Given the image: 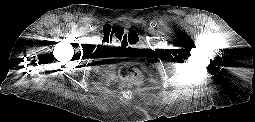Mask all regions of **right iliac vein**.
Here are the masks:
<instances>
[{
	"instance_id": "63e3f726",
	"label": "right iliac vein",
	"mask_w": 255,
	"mask_h": 122,
	"mask_svg": "<svg viewBox=\"0 0 255 122\" xmlns=\"http://www.w3.org/2000/svg\"><path fill=\"white\" fill-rule=\"evenodd\" d=\"M89 31H90L91 33H94V32H95V29H94V28H91V29H89Z\"/></svg>"
}]
</instances>
